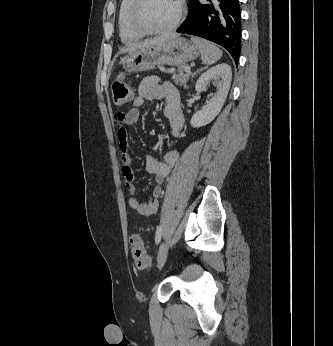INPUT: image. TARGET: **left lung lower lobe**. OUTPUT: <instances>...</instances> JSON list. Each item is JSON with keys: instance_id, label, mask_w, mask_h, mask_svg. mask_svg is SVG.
<instances>
[{"instance_id": "left-lung-lower-lobe-1", "label": "left lung lower lobe", "mask_w": 333, "mask_h": 346, "mask_svg": "<svg viewBox=\"0 0 333 346\" xmlns=\"http://www.w3.org/2000/svg\"><path fill=\"white\" fill-rule=\"evenodd\" d=\"M223 46L238 62L241 50V11L239 0H189V13L177 30Z\"/></svg>"}]
</instances>
